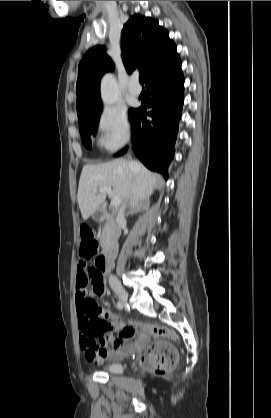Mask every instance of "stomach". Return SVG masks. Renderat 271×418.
<instances>
[{
	"label": "stomach",
	"instance_id": "0dacf381",
	"mask_svg": "<svg viewBox=\"0 0 271 418\" xmlns=\"http://www.w3.org/2000/svg\"><path fill=\"white\" fill-rule=\"evenodd\" d=\"M92 218H93L94 220H96V221H100V220H101L100 215H99V214H97V213H93V214H92Z\"/></svg>",
	"mask_w": 271,
	"mask_h": 418
}]
</instances>
